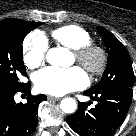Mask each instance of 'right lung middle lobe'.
<instances>
[{"instance_id":"dd1d6c3e","label":"right lung middle lobe","mask_w":136,"mask_h":136,"mask_svg":"<svg viewBox=\"0 0 136 136\" xmlns=\"http://www.w3.org/2000/svg\"><path fill=\"white\" fill-rule=\"evenodd\" d=\"M41 24L19 20L0 26V92H13L24 84L18 78L26 76L22 42L31 30Z\"/></svg>"}]
</instances>
